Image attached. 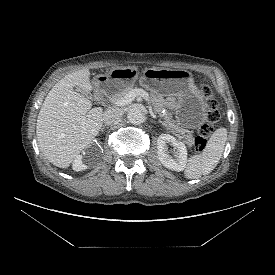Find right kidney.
<instances>
[{
	"label": "right kidney",
	"instance_id": "obj_1",
	"mask_svg": "<svg viewBox=\"0 0 275 275\" xmlns=\"http://www.w3.org/2000/svg\"><path fill=\"white\" fill-rule=\"evenodd\" d=\"M73 170L75 171H82L87 169V165L84 164L82 156L78 155L76 156V158L73 161V165H72Z\"/></svg>",
	"mask_w": 275,
	"mask_h": 275
}]
</instances>
